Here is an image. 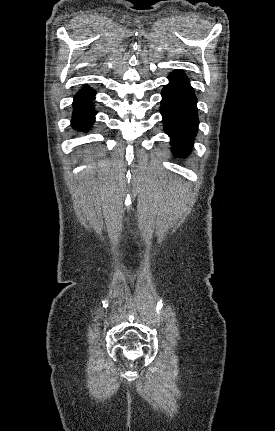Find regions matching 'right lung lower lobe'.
Returning <instances> with one entry per match:
<instances>
[{"instance_id":"1","label":"right lung lower lobe","mask_w":275,"mask_h":431,"mask_svg":"<svg viewBox=\"0 0 275 431\" xmlns=\"http://www.w3.org/2000/svg\"><path fill=\"white\" fill-rule=\"evenodd\" d=\"M96 92L90 87L82 88L74 97L71 125L73 129L88 131L95 121L94 96Z\"/></svg>"}]
</instances>
